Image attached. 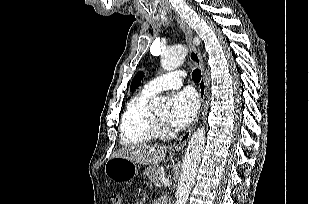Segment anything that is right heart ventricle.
<instances>
[{
    "label": "right heart ventricle",
    "mask_w": 309,
    "mask_h": 204,
    "mask_svg": "<svg viewBox=\"0 0 309 204\" xmlns=\"http://www.w3.org/2000/svg\"><path fill=\"white\" fill-rule=\"evenodd\" d=\"M152 95L143 90L127 103L120 124V138L123 144L146 143L159 135V128L149 108Z\"/></svg>",
    "instance_id": "obj_1"
}]
</instances>
